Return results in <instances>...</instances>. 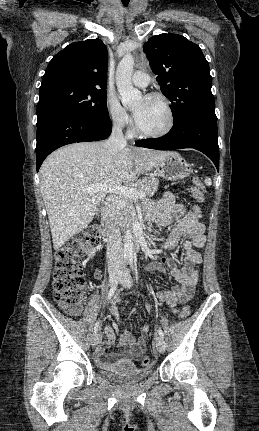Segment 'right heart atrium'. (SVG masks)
Listing matches in <instances>:
<instances>
[{"instance_id": "1", "label": "right heart atrium", "mask_w": 259, "mask_h": 431, "mask_svg": "<svg viewBox=\"0 0 259 431\" xmlns=\"http://www.w3.org/2000/svg\"><path fill=\"white\" fill-rule=\"evenodd\" d=\"M106 110L112 126L124 129L131 123V117L114 95H109L106 102Z\"/></svg>"}]
</instances>
